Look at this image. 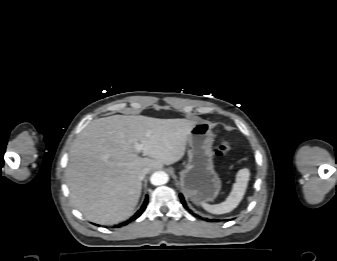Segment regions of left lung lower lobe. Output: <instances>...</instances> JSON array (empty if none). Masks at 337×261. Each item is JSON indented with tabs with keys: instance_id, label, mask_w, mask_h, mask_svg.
I'll list each match as a JSON object with an SVG mask.
<instances>
[{
	"instance_id": "0a47b994",
	"label": "left lung lower lobe",
	"mask_w": 337,
	"mask_h": 261,
	"mask_svg": "<svg viewBox=\"0 0 337 261\" xmlns=\"http://www.w3.org/2000/svg\"><path fill=\"white\" fill-rule=\"evenodd\" d=\"M180 199H181V202H182L183 206H184L186 209H188V207H187V205H186V203H185V200H184V198H183L182 195H180ZM188 210H189V209H188ZM189 212L192 213L191 210H189ZM192 214H193V213H192ZM193 215H195V214H193ZM195 216H196V215H195ZM206 220L209 221V222L216 221L215 219H206Z\"/></svg>"
}]
</instances>
